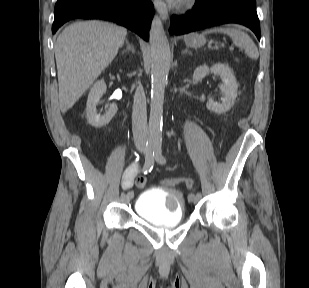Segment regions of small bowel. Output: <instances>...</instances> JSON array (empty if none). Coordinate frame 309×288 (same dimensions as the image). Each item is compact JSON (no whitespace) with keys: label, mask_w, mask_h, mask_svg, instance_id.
Here are the masks:
<instances>
[{"label":"small bowel","mask_w":309,"mask_h":288,"mask_svg":"<svg viewBox=\"0 0 309 288\" xmlns=\"http://www.w3.org/2000/svg\"><path fill=\"white\" fill-rule=\"evenodd\" d=\"M139 171V166H129L124 174H123V178H122V187L125 189L131 188L133 185V181L136 177V175L138 174Z\"/></svg>","instance_id":"c3829d8e"}]
</instances>
